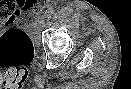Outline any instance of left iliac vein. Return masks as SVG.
I'll use <instances>...</instances> for the list:
<instances>
[{"label": "left iliac vein", "instance_id": "1", "mask_svg": "<svg viewBox=\"0 0 131 89\" xmlns=\"http://www.w3.org/2000/svg\"><path fill=\"white\" fill-rule=\"evenodd\" d=\"M43 22H44V19H42V20L40 21V26L38 27V29H41V28H42Z\"/></svg>", "mask_w": 131, "mask_h": 89}]
</instances>
